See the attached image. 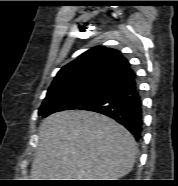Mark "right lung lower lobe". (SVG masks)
<instances>
[{
    "instance_id": "right-lung-lower-lobe-1",
    "label": "right lung lower lobe",
    "mask_w": 178,
    "mask_h": 186,
    "mask_svg": "<svg viewBox=\"0 0 178 186\" xmlns=\"http://www.w3.org/2000/svg\"><path fill=\"white\" fill-rule=\"evenodd\" d=\"M78 109L106 115L125 126L137 140L141 137L143 105L135 74L110 84Z\"/></svg>"
}]
</instances>
